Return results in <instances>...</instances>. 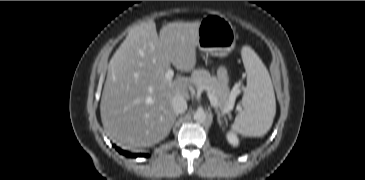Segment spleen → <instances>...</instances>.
Segmentation results:
<instances>
[{
    "mask_svg": "<svg viewBox=\"0 0 365 180\" xmlns=\"http://www.w3.org/2000/svg\"><path fill=\"white\" fill-rule=\"evenodd\" d=\"M247 73V86L242 97L243 111L231 125V129L248 137L266 134L276 113V100L269 72L259 56L249 47L242 50Z\"/></svg>",
    "mask_w": 365,
    "mask_h": 180,
    "instance_id": "obj_1",
    "label": "spleen"
}]
</instances>
